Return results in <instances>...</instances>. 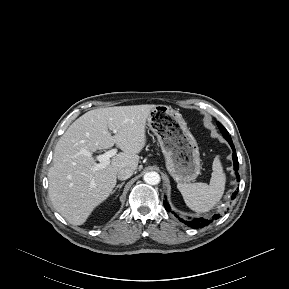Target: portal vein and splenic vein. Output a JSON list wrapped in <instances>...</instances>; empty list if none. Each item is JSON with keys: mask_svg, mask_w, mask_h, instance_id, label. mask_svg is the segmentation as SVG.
<instances>
[{"mask_svg": "<svg viewBox=\"0 0 289 289\" xmlns=\"http://www.w3.org/2000/svg\"><path fill=\"white\" fill-rule=\"evenodd\" d=\"M116 131H114L115 133ZM81 154L86 155V156H92V153H90L89 151L82 149ZM117 153V149H111L107 152H105L104 154L101 155H97L96 159L99 161L98 164H95V166L93 167L94 171H97L99 169H102L104 167H106L107 165L110 164V158L115 156Z\"/></svg>", "mask_w": 289, "mask_h": 289, "instance_id": "obj_1", "label": "portal vein and splenic vein"}]
</instances>
